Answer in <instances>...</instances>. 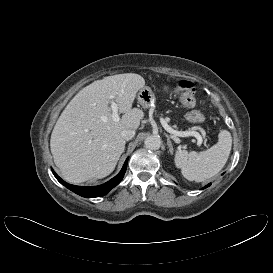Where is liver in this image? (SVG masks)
Masks as SVG:
<instances>
[{
	"instance_id": "liver-1",
	"label": "liver",
	"mask_w": 273,
	"mask_h": 273,
	"mask_svg": "<svg viewBox=\"0 0 273 273\" xmlns=\"http://www.w3.org/2000/svg\"><path fill=\"white\" fill-rule=\"evenodd\" d=\"M145 86L142 76L118 74L83 88L67 105L51 134L50 148L55 165L70 183L101 179L109 175L125 149L121 132L136 130L144 117L133 108L137 92ZM110 96L123 116L112 119Z\"/></svg>"
}]
</instances>
